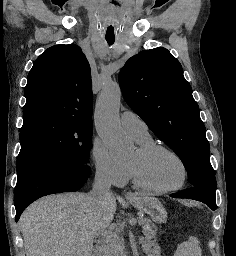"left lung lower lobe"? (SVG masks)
Masks as SVG:
<instances>
[{
	"instance_id": "0a47b994",
	"label": "left lung lower lobe",
	"mask_w": 236,
	"mask_h": 256,
	"mask_svg": "<svg viewBox=\"0 0 236 256\" xmlns=\"http://www.w3.org/2000/svg\"><path fill=\"white\" fill-rule=\"evenodd\" d=\"M216 188H210L205 186H195L182 190L178 193L171 194L174 198H187L197 201H201L207 204L212 210L217 209L216 206Z\"/></svg>"
}]
</instances>
